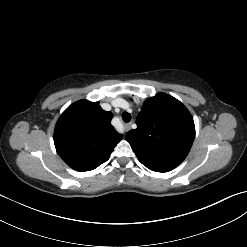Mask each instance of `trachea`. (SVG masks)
<instances>
[{"label": "trachea", "mask_w": 247, "mask_h": 247, "mask_svg": "<svg viewBox=\"0 0 247 247\" xmlns=\"http://www.w3.org/2000/svg\"><path fill=\"white\" fill-rule=\"evenodd\" d=\"M122 119L124 122L128 123L131 120V115L128 112L122 114Z\"/></svg>", "instance_id": "3493384b"}]
</instances>
